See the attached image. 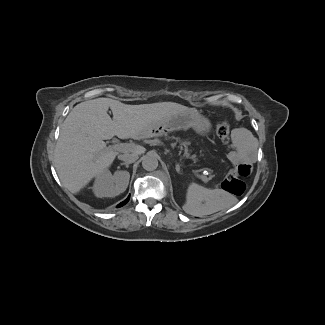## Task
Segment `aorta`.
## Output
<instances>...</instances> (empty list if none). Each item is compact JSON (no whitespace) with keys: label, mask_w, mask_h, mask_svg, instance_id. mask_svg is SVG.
<instances>
[{"label":"aorta","mask_w":325,"mask_h":325,"mask_svg":"<svg viewBox=\"0 0 325 325\" xmlns=\"http://www.w3.org/2000/svg\"><path fill=\"white\" fill-rule=\"evenodd\" d=\"M142 167L147 171H153L158 167V158L155 153L149 152L142 157Z\"/></svg>","instance_id":"aorta-1"}]
</instances>
